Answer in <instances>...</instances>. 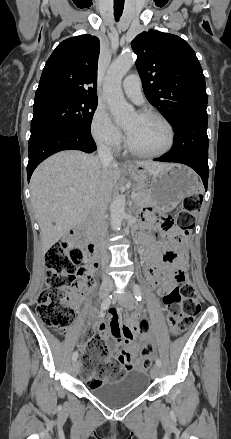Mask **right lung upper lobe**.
Masks as SVG:
<instances>
[{
  "label": "right lung upper lobe",
  "mask_w": 231,
  "mask_h": 439,
  "mask_svg": "<svg viewBox=\"0 0 231 439\" xmlns=\"http://www.w3.org/2000/svg\"><path fill=\"white\" fill-rule=\"evenodd\" d=\"M100 42L89 34L62 41L47 60L35 99L53 94L97 98Z\"/></svg>",
  "instance_id": "cb5924a9"
}]
</instances>
